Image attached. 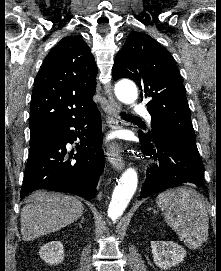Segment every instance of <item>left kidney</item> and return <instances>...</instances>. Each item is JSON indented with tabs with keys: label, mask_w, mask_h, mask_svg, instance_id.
I'll use <instances>...</instances> for the list:
<instances>
[{
	"label": "left kidney",
	"mask_w": 221,
	"mask_h": 271,
	"mask_svg": "<svg viewBox=\"0 0 221 271\" xmlns=\"http://www.w3.org/2000/svg\"><path fill=\"white\" fill-rule=\"evenodd\" d=\"M151 249L153 261L161 269H170L186 257L184 247L175 241H151Z\"/></svg>",
	"instance_id": "1"
}]
</instances>
